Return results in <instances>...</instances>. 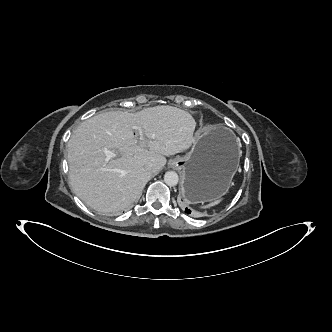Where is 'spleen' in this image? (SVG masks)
Returning <instances> with one entry per match:
<instances>
[{"label":"spleen","instance_id":"3e777b00","mask_svg":"<svg viewBox=\"0 0 332 332\" xmlns=\"http://www.w3.org/2000/svg\"><path fill=\"white\" fill-rule=\"evenodd\" d=\"M221 200H222V199H217V200H215L214 202H212V203H210V204L204 206L203 208H208V207H212V206H214V205H217Z\"/></svg>","mask_w":332,"mask_h":332}]
</instances>
